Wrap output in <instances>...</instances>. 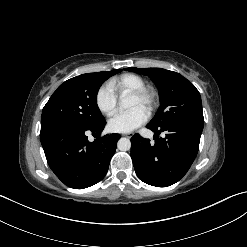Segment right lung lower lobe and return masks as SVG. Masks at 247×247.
I'll list each match as a JSON object with an SVG mask.
<instances>
[{"label":"right lung lower lobe","instance_id":"right-lung-lower-lobe-1","mask_svg":"<svg viewBox=\"0 0 247 247\" xmlns=\"http://www.w3.org/2000/svg\"><path fill=\"white\" fill-rule=\"evenodd\" d=\"M106 121L91 128L58 125L41 129L40 140L47 162L68 187L83 189L104 178L115 153L119 134L105 135L89 142V130L100 134Z\"/></svg>","mask_w":247,"mask_h":247}]
</instances>
